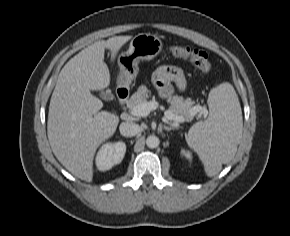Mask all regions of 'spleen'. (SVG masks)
<instances>
[{"mask_svg": "<svg viewBox=\"0 0 290 236\" xmlns=\"http://www.w3.org/2000/svg\"><path fill=\"white\" fill-rule=\"evenodd\" d=\"M208 106L209 117L190 128L187 143L198 154L207 176L213 177L221 171L222 164L234 158L243 119L238 96L228 82L211 89Z\"/></svg>", "mask_w": 290, "mask_h": 236, "instance_id": "1", "label": "spleen"}]
</instances>
